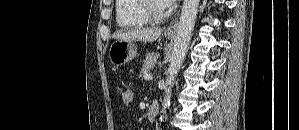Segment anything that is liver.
<instances>
[{"label": "liver", "instance_id": "6515ba94", "mask_svg": "<svg viewBox=\"0 0 299 130\" xmlns=\"http://www.w3.org/2000/svg\"><path fill=\"white\" fill-rule=\"evenodd\" d=\"M162 33V28H139L127 30L114 35L116 40H140L145 42H154Z\"/></svg>", "mask_w": 299, "mask_h": 130}]
</instances>
